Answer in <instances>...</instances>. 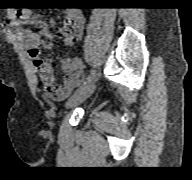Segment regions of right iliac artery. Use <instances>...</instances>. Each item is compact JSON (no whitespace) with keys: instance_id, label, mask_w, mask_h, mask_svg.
I'll use <instances>...</instances> for the list:
<instances>
[{"instance_id":"right-iliac-artery-1","label":"right iliac artery","mask_w":192,"mask_h":180,"mask_svg":"<svg viewBox=\"0 0 192 180\" xmlns=\"http://www.w3.org/2000/svg\"><path fill=\"white\" fill-rule=\"evenodd\" d=\"M95 77H96V72H95V70H93V71L90 73V75L86 78V81L83 83V85H82L78 90L82 89L83 87H85L86 85H88L89 83H91V82L95 79ZM78 90H77V91H78Z\"/></svg>"}]
</instances>
